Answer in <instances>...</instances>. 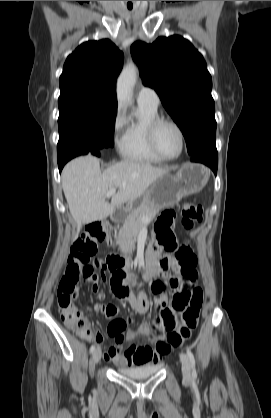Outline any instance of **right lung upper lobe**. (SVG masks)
I'll return each instance as SVG.
<instances>
[{"instance_id": "obj_1", "label": "right lung upper lobe", "mask_w": 271, "mask_h": 418, "mask_svg": "<svg viewBox=\"0 0 271 418\" xmlns=\"http://www.w3.org/2000/svg\"><path fill=\"white\" fill-rule=\"evenodd\" d=\"M123 59V53L108 39L81 44L64 64L58 104L83 101L117 106L115 84Z\"/></svg>"}]
</instances>
